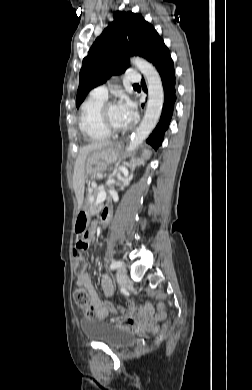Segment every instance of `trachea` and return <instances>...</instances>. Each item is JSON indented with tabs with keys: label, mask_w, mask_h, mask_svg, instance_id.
<instances>
[{
	"label": "trachea",
	"mask_w": 252,
	"mask_h": 390,
	"mask_svg": "<svg viewBox=\"0 0 252 390\" xmlns=\"http://www.w3.org/2000/svg\"><path fill=\"white\" fill-rule=\"evenodd\" d=\"M134 86H139V84H134Z\"/></svg>",
	"instance_id": "3493384b"
}]
</instances>
